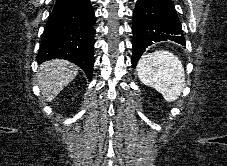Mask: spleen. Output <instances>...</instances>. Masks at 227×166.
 I'll return each instance as SVG.
<instances>
[{
  "mask_svg": "<svg viewBox=\"0 0 227 166\" xmlns=\"http://www.w3.org/2000/svg\"><path fill=\"white\" fill-rule=\"evenodd\" d=\"M145 85L156 89L167 102L177 100L185 86V72L181 61L169 51H155L143 55L136 68Z\"/></svg>",
  "mask_w": 227,
  "mask_h": 166,
  "instance_id": "3e777b00",
  "label": "spleen"
}]
</instances>
